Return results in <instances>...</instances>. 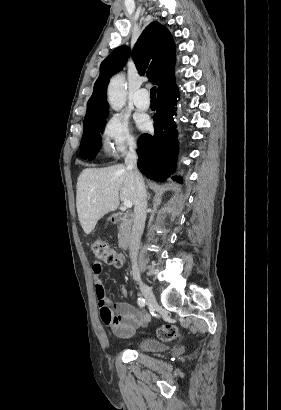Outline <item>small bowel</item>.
<instances>
[{"label":"small bowel","mask_w":281,"mask_h":410,"mask_svg":"<svg viewBox=\"0 0 281 410\" xmlns=\"http://www.w3.org/2000/svg\"><path fill=\"white\" fill-rule=\"evenodd\" d=\"M102 271V263L98 260H95L92 264V272L95 281V292L101 316L103 318L105 312H111L118 321L117 326L112 329L113 334L118 338L131 337L138 327L147 323V321L149 320V315L143 313L138 308L129 303L122 302L112 304L101 279ZM120 291L124 296L129 295V291L124 286H121Z\"/></svg>","instance_id":"c3829d8e"}]
</instances>
